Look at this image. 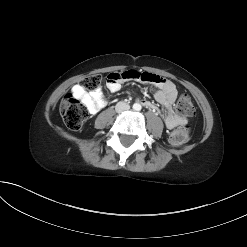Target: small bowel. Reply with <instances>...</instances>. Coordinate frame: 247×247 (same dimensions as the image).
Wrapping results in <instances>:
<instances>
[{
	"label": "small bowel",
	"mask_w": 247,
	"mask_h": 247,
	"mask_svg": "<svg viewBox=\"0 0 247 247\" xmlns=\"http://www.w3.org/2000/svg\"><path fill=\"white\" fill-rule=\"evenodd\" d=\"M148 72H139L136 69L127 71H110L106 73L104 80L107 84V88L111 92H117L121 88V84L130 83H144L147 86L154 85L156 91L154 93L155 99L163 105L165 112L163 114V120L168 129H173L185 122L184 119L178 117L173 112V104L177 99L178 91L175 84L160 76L151 74ZM153 75V76H152ZM72 96L81 101L87 110L91 114H97L105 105L106 100L102 95V89L100 87L88 92L76 84L72 87ZM143 104L154 109V106L149 101H143Z\"/></svg>",
	"instance_id": "1"
}]
</instances>
